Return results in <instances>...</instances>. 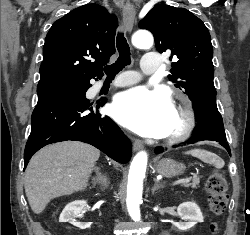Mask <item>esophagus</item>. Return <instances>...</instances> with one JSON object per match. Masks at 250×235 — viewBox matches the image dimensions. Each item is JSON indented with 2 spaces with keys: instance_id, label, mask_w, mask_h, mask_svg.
Returning <instances> with one entry per match:
<instances>
[{
  "instance_id": "1",
  "label": "esophagus",
  "mask_w": 250,
  "mask_h": 235,
  "mask_svg": "<svg viewBox=\"0 0 250 235\" xmlns=\"http://www.w3.org/2000/svg\"><path fill=\"white\" fill-rule=\"evenodd\" d=\"M134 19H135L134 8L130 5L125 6L123 9V23H124V27L127 33H130L132 31L133 25H134ZM142 147H143V143L140 140L135 139L133 141L134 151H138L142 149Z\"/></svg>"
}]
</instances>
